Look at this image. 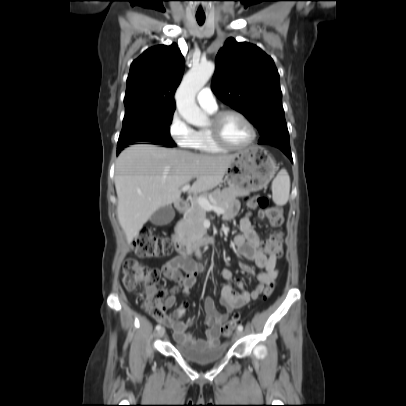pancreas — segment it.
<instances>
[{"label":"pancreas","instance_id":"obj_1","mask_svg":"<svg viewBox=\"0 0 406 406\" xmlns=\"http://www.w3.org/2000/svg\"><path fill=\"white\" fill-rule=\"evenodd\" d=\"M248 194L249 192L245 190L229 187L215 190L210 195L203 194L201 197L211 200L224 211H227L237 197ZM205 218L206 210L198 204L197 198H194L191 200V205L186 209L184 218L177 225L179 233L191 240L204 235L206 233V228L203 225Z\"/></svg>","mask_w":406,"mask_h":406}]
</instances>
